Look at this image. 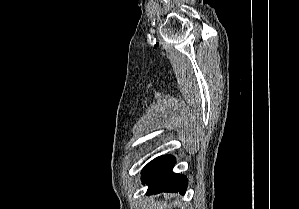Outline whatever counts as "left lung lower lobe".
<instances>
[{
    "label": "left lung lower lobe",
    "mask_w": 299,
    "mask_h": 209,
    "mask_svg": "<svg viewBox=\"0 0 299 209\" xmlns=\"http://www.w3.org/2000/svg\"><path fill=\"white\" fill-rule=\"evenodd\" d=\"M176 160L171 155H163L149 162L142 170V182L149 185L147 194L179 192L187 189V178L172 171Z\"/></svg>",
    "instance_id": "0a47b994"
}]
</instances>
